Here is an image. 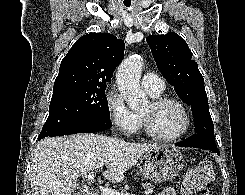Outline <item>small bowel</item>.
<instances>
[{
    "label": "small bowel",
    "mask_w": 245,
    "mask_h": 195,
    "mask_svg": "<svg viewBox=\"0 0 245 195\" xmlns=\"http://www.w3.org/2000/svg\"><path fill=\"white\" fill-rule=\"evenodd\" d=\"M156 195H176L175 190L172 187H166Z\"/></svg>",
    "instance_id": "1"
}]
</instances>
